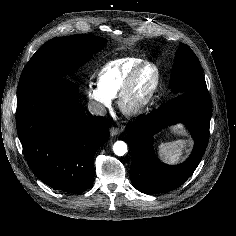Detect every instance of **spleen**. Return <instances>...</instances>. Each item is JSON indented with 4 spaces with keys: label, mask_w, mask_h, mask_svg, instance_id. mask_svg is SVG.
<instances>
[{
    "label": "spleen",
    "mask_w": 236,
    "mask_h": 236,
    "mask_svg": "<svg viewBox=\"0 0 236 236\" xmlns=\"http://www.w3.org/2000/svg\"><path fill=\"white\" fill-rule=\"evenodd\" d=\"M189 144V140L179 139L173 142L161 143L158 146L159 158L169 164H176L180 161L186 147Z\"/></svg>",
    "instance_id": "3e777b00"
}]
</instances>
